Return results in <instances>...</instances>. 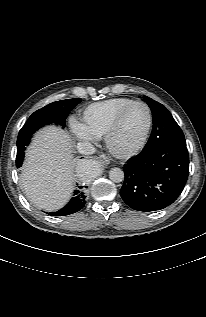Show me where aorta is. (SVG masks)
<instances>
[{
    "label": "aorta",
    "mask_w": 206,
    "mask_h": 317,
    "mask_svg": "<svg viewBox=\"0 0 206 317\" xmlns=\"http://www.w3.org/2000/svg\"><path fill=\"white\" fill-rule=\"evenodd\" d=\"M99 170V164L90 160L81 165L79 175L82 179L89 180L96 177L99 174ZM109 178L115 183L122 182L124 180V172L120 168H112L109 172Z\"/></svg>",
    "instance_id": "1"
}]
</instances>
